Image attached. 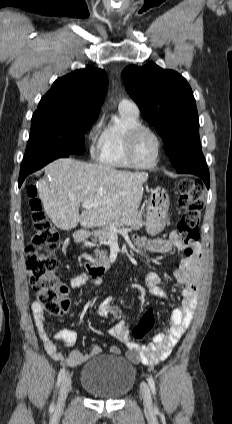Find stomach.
Masks as SVG:
<instances>
[{"label": "stomach", "mask_w": 232, "mask_h": 424, "mask_svg": "<svg viewBox=\"0 0 232 424\" xmlns=\"http://www.w3.org/2000/svg\"><path fill=\"white\" fill-rule=\"evenodd\" d=\"M169 196L160 187L151 190V198L147 209L146 231L150 235L160 233L168 221Z\"/></svg>", "instance_id": "1"}]
</instances>
